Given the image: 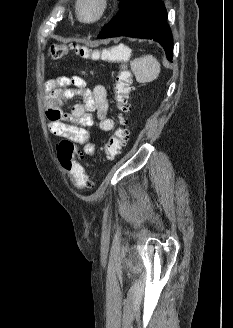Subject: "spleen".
Wrapping results in <instances>:
<instances>
[{
    "label": "spleen",
    "instance_id": "spleen-1",
    "mask_svg": "<svg viewBox=\"0 0 233 328\" xmlns=\"http://www.w3.org/2000/svg\"><path fill=\"white\" fill-rule=\"evenodd\" d=\"M120 50L121 47L114 49L113 53L116 57L121 54ZM130 65L136 81L142 84L154 81L160 73V63L152 55H144L134 59Z\"/></svg>",
    "mask_w": 233,
    "mask_h": 328
}]
</instances>
